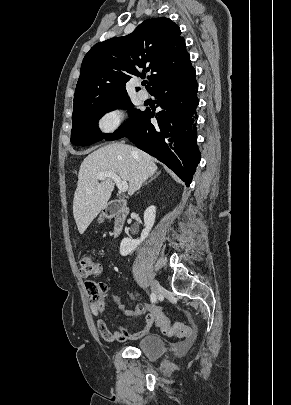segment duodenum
<instances>
[{
    "mask_svg": "<svg viewBox=\"0 0 291 405\" xmlns=\"http://www.w3.org/2000/svg\"><path fill=\"white\" fill-rule=\"evenodd\" d=\"M128 212V207L122 200L112 201L106 207V215L114 220V236H119L123 231Z\"/></svg>",
    "mask_w": 291,
    "mask_h": 405,
    "instance_id": "obj_1",
    "label": "duodenum"
}]
</instances>
